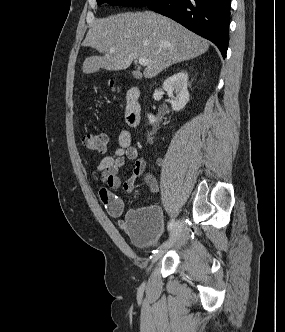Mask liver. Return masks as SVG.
I'll list each match as a JSON object with an SVG mask.
<instances>
[{
	"label": "liver",
	"instance_id": "obj_1",
	"mask_svg": "<svg viewBox=\"0 0 285 332\" xmlns=\"http://www.w3.org/2000/svg\"><path fill=\"white\" fill-rule=\"evenodd\" d=\"M103 56L85 59L82 70L91 74L105 69L128 68L134 59L146 58L145 78H153L169 66L204 54L209 42L179 23L152 11L119 13L95 20L83 42ZM110 48L115 52L111 53Z\"/></svg>",
	"mask_w": 285,
	"mask_h": 332
}]
</instances>
